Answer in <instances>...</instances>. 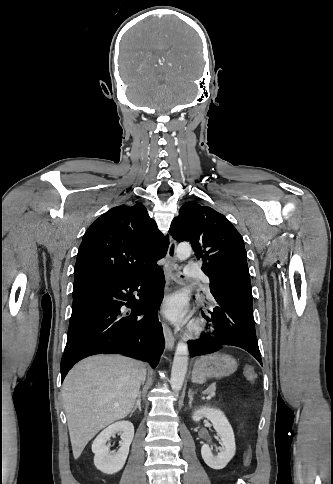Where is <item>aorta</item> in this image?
<instances>
[{"label":"aorta","mask_w":333,"mask_h":484,"mask_svg":"<svg viewBox=\"0 0 333 484\" xmlns=\"http://www.w3.org/2000/svg\"><path fill=\"white\" fill-rule=\"evenodd\" d=\"M192 248L189 243H180L176 248V255L179 260L190 257ZM188 346L185 342H178L171 370L170 384L173 391L181 390L188 366Z\"/></svg>","instance_id":"aorta-1"}]
</instances>
